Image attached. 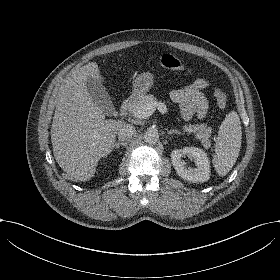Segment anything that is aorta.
<instances>
[{"label": "aorta", "mask_w": 280, "mask_h": 280, "mask_svg": "<svg viewBox=\"0 0 280 280\" xmlns=\"http://www.w3.org/2000/svg\"><path fill=\"white\" fill-rule=\"evenodd\" d=\"M144 141L148 144H155L159 139V134L156 129L149 128L144 133Z\"/></svg>", "instance_id": "obj_1"}]
</instances>
